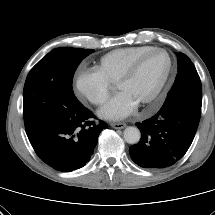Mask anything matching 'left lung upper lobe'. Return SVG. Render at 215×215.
Segmentation results:
<instances>
[{
    "instance_id": "left-lung-upper-lobe-1",
    "label": "left lung upper lobe",
    "mask_w": 215,
    "mask_h": 215,
    "mask_svg": "<svg viewBox=\"0 0 215 215\" xmlns=\"http://www.w3.org/2000/svg\"><path fill=\"white\" fill-rule=\"evenodd\" d=\"M176 55L178 74L167 98L182 97L201 105L202 86L196 68L185 54L176 53Z\"/></svg>"
}]
</instances>
